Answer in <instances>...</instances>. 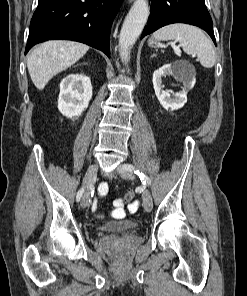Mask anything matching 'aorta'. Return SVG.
I'll list each match as a JSON object with an SVG mask.
<instances>
[{
	"instance_id": "obj_1",
	"label": "aorta",
	"mask_w": 247,
	"mask_h": 296,
	"mask_svg": "<svg viewBox=\"0 0 247 296\" xmlns=\"http://www.w3.org/2000/svg\"><path fill=\"white\" fill-rule=\"evenodd\" d=\"M149 16L147 0H135L127 14L119 35L120 57L127 63L130 50L141 34Z\"/></svg>"
}]
</instances>
